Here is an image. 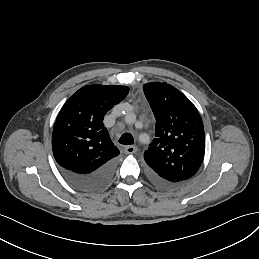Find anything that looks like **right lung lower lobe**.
Instances as JSON below:
<instances>
[{
	"label": "right lung lower lobe",
	"mask_w": 259,
	"mask_h": 259,
	"mask_svg": "<svg viewBox=\"0 0 259 259\" xmlns=\"http://www.w3.org/2000/svg\"><path fill=\"white\" fill-rule=\"evenodd\" d=\"M116 160L113 159L91 173H75L61 168V173L75 187L81 190H97L111 179L115 170Z\"/></svg>",
	"instance_id": "right-lung-lower-lobe-1"
}]
</instances>
